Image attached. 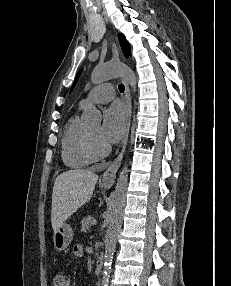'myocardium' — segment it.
<instances>
[{
  "mask_svg": "<svg viewBox=\"0 0 231 286\" xmlns=\"http://www.w3.org/2000/svg\"><path fill=\"white\" fill-rule=\"evenodd\" d=\"M83 147L85 153L92 159V160H99L101 158H104L108 155L110 148L108 146H105L103 148H98L94 144L93 140L91 139V136L85 128L84 135H83Z\"/></svg>",
  "mask_w": 231,
  "mask_h": 286,
  "instance_id": "f54148a6",
  "label": "myocardium"
}]
</instances>
